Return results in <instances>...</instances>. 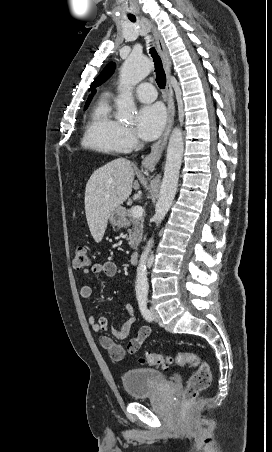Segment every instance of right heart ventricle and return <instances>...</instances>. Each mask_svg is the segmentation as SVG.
<instances>
[{
	"label": "right heart ventricle",
	"mask_w": 272,
	"mask_h": 452,
	"mask_svg": "<svg viewBox=\"0 0 272 452\" xmlns=\"http://www.w3.org/2000/svg\"><path fill=\"white\" fill-rule=\"evenodd\" d=\"M122 125L111 115L108 97H102L93 107L84 127L82 145L109 154L124 152L120 131Z\"/></svg>",
	"instance_id": "e07e8e85"
}]
</instances>
